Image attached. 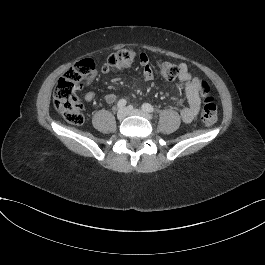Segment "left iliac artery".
<instances>
[{"label":"left iliac artery","instance_id":"obj_1","mask_svg":"<svg viewBox=\"0 0 265 265\" xmlns=\"http://www.w3.org/2000/svg\"><path fill=\"white\" fill-rule=\"evenodd\" d=\"M142 109H143L144 111H146V112H150V113L155 112V109L153 108V106L150 105V104H148V103H144V104L142 105Z\"/></svg>","mask_w":265,"mask_h":265}]
</instances>
